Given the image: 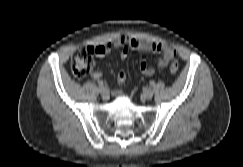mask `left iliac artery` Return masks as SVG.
Listing matches in <instances>:
<instances>
[{
    "mask_svg": "<svg viewBox=\"0 0 243 167\" xmlns=\"http://www.w3.org/2000/svg\"><path fill=\"white\" fill-rule=\"evenodd\" d=\"M154 84H155V82H154L153 80H151V81H150V85L153 86Z\"/></svg>",
    "mask_w": 243,
    "mask_h": 167,
    "instance_id": "44dca946",
    "label": "left iliac artery"
}]
</instances>
